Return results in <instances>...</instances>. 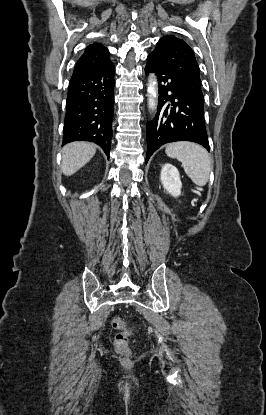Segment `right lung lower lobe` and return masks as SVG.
I'll return each mask as SVG.
<instances>
[{"label":"right lung lower lobe","instance_id":"1","mask_svg":"<svg viewBox=\"0 0 266 415\" xmlns=\"http://www.w3.org/2000/svg\"><path fill=\"white\" fill-rule=\"evenodd\" d=\"M115 66L71 78L66 101L63 144L90 141L109 158L112 139Z\"/></svg>","mask_w":266,"mask_h":415}]
</instances>
